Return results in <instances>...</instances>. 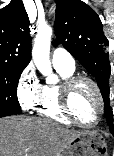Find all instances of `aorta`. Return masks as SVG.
<instances>
[{"mask_svg":"<svg viewBox=\"0 0 114 156\" xmlns=\"http://www.w3.org/2000/svg\"><path fill=\"white\" fill-rule=\"evenodd\" d=\"M52 36V28L48 25L38 29L34 45L32 48V59L37 69L47 76V82H56V78L52 74L50 62V42Z\"/></svg>","mask_w":114,"mask_h":156,"instance_id":"aorta-1","label":"aorta"}]
</instances>
